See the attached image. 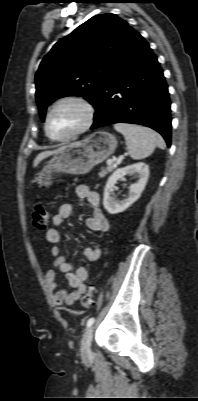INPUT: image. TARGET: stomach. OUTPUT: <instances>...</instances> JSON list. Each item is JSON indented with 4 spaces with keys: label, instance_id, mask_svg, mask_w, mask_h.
<instances>
[{
    "label": "stomach",
    "instance_id": "0dacf381",
    "mask_svg": "<svg viewBox=\"0 0 198 401\" xmlns=\"http://www.w3.org/2000/svg\"><path fill=\"white\" fill-rule=\"evenodd\" d=\"M116 147V137L107 131H96L81 141L63 146L40 170L37 183L39 187H48L56 174L88 173L113 154Z\"/></svg>",
    "mask_w": 198,
    "mask_h": 401
}]
</instances>
